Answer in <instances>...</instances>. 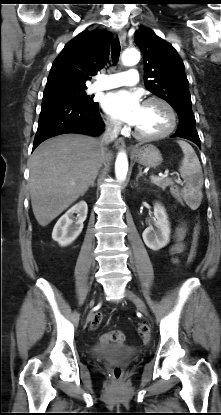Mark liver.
Returning a JSON list of instances; mask_svg holds the SVG:
<instances>
[{
	"label": "liver",
	"mask_w": 221,
	"mask_h": 415,
	"mask_svg": "<svg viewBox=\"0 0 221 415\" xmlns=\"http://www.w3.org/2000/svg\"><path fill=\"white\" fill-rule=\"evenodd\" d=\"M100 140L64 134L41 143L30 158L31 205L39 225L45 227L88 190L101 163L111 159Z\"/></svg>",
	"instance_id": "6515ba94"
}]
</instances>
